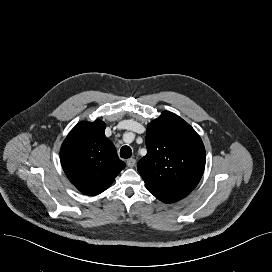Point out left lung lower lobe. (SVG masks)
Listing matches in <instances>:
<instances>
[{
	"label": "left lung lower lobe",
	"mask_w": 272,
	"mask_h": 272,
	"mask_svg": "<svg viewBox=\"0 0 272 272\" xmlns=\"http://www.w3.org/2000/svg\"><path fill=\"white\" fill-rule=\"evenodd\" d=\"M151 194H153L157 199L165 202V203H173L176 201L181 200L184 197H181L179 195L165 192V191H160V190H155V189H148Z\"/></svg>",
	"instance_id": "obj_1"
}]
</instances>
